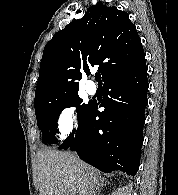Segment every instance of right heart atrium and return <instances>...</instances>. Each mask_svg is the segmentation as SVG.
<instances>
[{
	"label": "right heart atrium",
	"mask_w": 178,
	"mask_h": 195,
	"mask_svg": "<svg viewBox=\"0 0 178 195\" xmlns=\"http://www.w3.org/2000/svg\"><path fill=\"white\" fill-rule=\"evenodd\" d=\"M78 127V112L74 105L64 106L57 116V129L61 138L73 134Z\"/></svg>",
	"instance_id": "right-heart-atrium-1"
}]
</instances>
